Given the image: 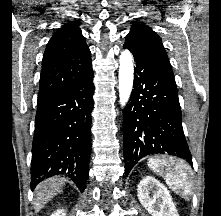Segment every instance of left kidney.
<instances>
[{
  "instance_id": "left-kidney-1",
  "label": "left kidney",
  "mask_w": 221,
  "mask_h": 216,
  "mask_svg": "<svg viewBox=\"0 0 221 216\" xmlns=\"http://www.w3.org/2000/svg\"><path fill=\"white\" fill-rule=\"evenodd\" d=\"M137 191L140 203L152 216H179L168 189L157 179L146 176Z\"/></svg>"
}]
</instances>
